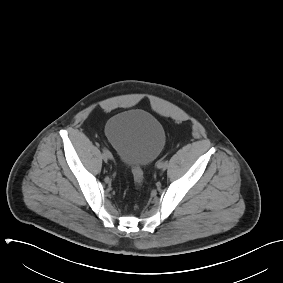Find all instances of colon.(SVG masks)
<instances>
[{
    "label": "colon",
    "mask_w": 283,
    "mask_h": 283,
    "mask_svg": "<svg viewBox=\"0 0 283 283\" xmlns=\"http://www.w3.org/2000/svg\"><path fill=\"white\" fill-rule=\"evenodd\" d=\"M134 182L138 188H140L143 184V171L141 167L135 166L132 169Z\"/></svg>",
    "instance_id": "obj_1"
}]
</instances>
